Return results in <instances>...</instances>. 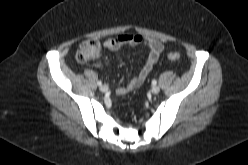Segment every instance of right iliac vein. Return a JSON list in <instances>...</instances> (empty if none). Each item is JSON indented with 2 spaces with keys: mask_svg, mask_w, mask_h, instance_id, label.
Listing matches in <instances>:
<instances>
[{
  "mask_svg": "<svg viewBox=\"0 0 248 165\" xmlns=\"http://www.w3.org/2000/svg\"><path fill=\"white\" fill-rule=\"evenodd\" d=\"M99 89L101 92H107L108 87L106 85H101Z\"/></svg>",
  "mask_w": 248,
  "mask_h": 165,
  "instance_id": "obj_1",
  "label": "right iliac vein"
}]
</instances>
